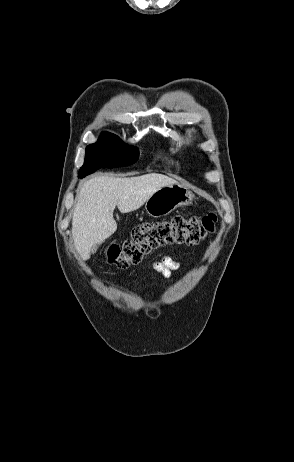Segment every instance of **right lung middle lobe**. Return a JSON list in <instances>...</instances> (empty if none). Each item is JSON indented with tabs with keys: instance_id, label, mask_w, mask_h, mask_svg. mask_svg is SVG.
<instances>
[{
	"instance_id": "1",
	"label": "right lung middle lobe",
	"mask_w": 294,
	"mask_h": 462,
	"mask_svg": "<svg viewBox=\"0 0 294 462\" xmlns=\"http://www.w3.org/2000/svg\"><path fill=\"white\" fill-rule=\"evenodd\" d=\"M98 153L115 158L118 161V167L132 164L138 159L137 148L126 145L114 134L102 133L98 142L86 147L85 162L80 168L79 176L90 169V159Z\"/></svg>"
}]
</instances>
